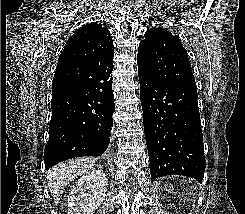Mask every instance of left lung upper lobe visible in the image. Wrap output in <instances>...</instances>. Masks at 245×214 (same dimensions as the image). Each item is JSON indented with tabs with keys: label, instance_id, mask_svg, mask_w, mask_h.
I'll return each instance as SVG.
<instances>
[{
	"label": "left lung upper lobe",
	"instance_id": "left-lung-upper-lobe-1",
	"mask_svg": "<svg viewBox=\"0 0 245 214\" xmlns=\"http://www.w3.org/2000/svg\"><path fill=\"white\" fill-rule=\"evenodd\" d=\"M138 71L153 79L196 86L186 49L177 36L163 28L146 31L137 55Z\"/></svg>",
	"mask_w": 245,
	"mask_h": 214
}]
</instances>
